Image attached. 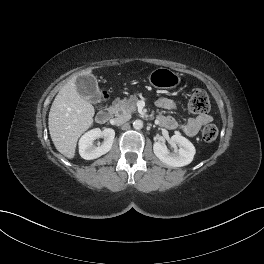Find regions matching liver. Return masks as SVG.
I'll list each match as a JSON object with an SVG mask.
<instances>
[{"instance_id":"liver-1","label":"liver","mask_w":264,"mask_h":264,"mask_svg":"<svg viewBox=\"0 0 264 264\" xmlns=\"http://www.w3.org/2000/svg\"><path fill=\"white\" fill-rule=\"evenodd\" d=\"M85 71L82 75H89ZM77 76L70 79L56 95L49 112L48 127L56 149L65 157L75 156L79 137L93 124L95 110L76 88Z\"/></svg>"}]
</instances>
